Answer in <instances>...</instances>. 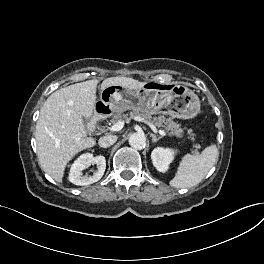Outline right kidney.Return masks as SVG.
<instances>
[{"instance_id": "right-kidney-1", "label": "right kidney", "mask_w": 264, "mask_h": 264, "mask_svg": "<svg viewBox=\"0 0 264 264\" xmlns=\"http://www.w3.org/2000/svg\"><path fill=\"white\" fill-rule=\"evenodd\" d=\"M91 164L97 165V171L92 176H83L82 171ZM106 169V160L102 155L93 156L85 153L79 156L71 166L69 173V181L75 185L86 186L100 180Z\"/></svg>"}]
</instances>
